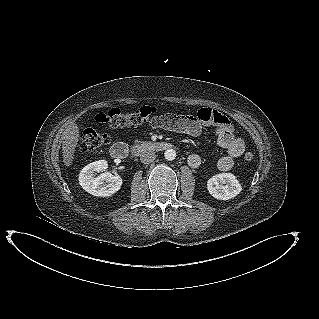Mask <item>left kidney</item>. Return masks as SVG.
<instances>
[{
    "mask_svg": "<svg viewBox=\"0 0 319 319\" xmlns=\"http://www.w3.org/2000/svg\"><path fill=\"white\" fill-rule=\"evenodd\" d=\"M221 184L226 185L221 186ZM207 189L212 197L218 200H229L241 192L242 186L232 173H221L207 181Z\"/></svg>",
    "mask_w": 319,
    "mask_h": 319,
    "instance_id": "5707ae66",
    "label": "left kidney"
}]
</instances>
